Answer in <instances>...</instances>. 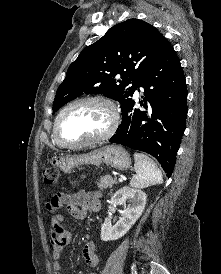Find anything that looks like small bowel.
<instances>
[{
    "mask_svg": "<svg viewBox=\"0 0 221 274\" xmlns=\"http://www.w3.org/2000/svg\"><path fill=\"white\" fill-rule=\"evenodd\" d=\"M67 206L70 214L76 219H84L89 210L98 211L100 209L99 193H89L79 191L73 194L57 193L51 197L46 204V208L51 213V250L53 257V267L55 274H61L62 271V250L70 244L73 238V232L62 226L64 215L59 212ZM83 258L88 265L95 267L99 263V257L95 252L93 242H88L83 248ZM95 274V273H91Z\"/></svg>",
    "mask_w": 221,
    "mask_h": 274,
    "instance_id": "1",
    "label": "small bowel"
}]
</instances>
